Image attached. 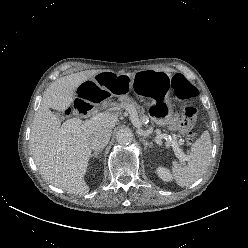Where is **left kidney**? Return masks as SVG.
<instances>
[{
  "mask_svg": "<svg viewBox=\"0 0 248 248\" xmlns=\"http://www.w3.org/2000/svg\"><path fill=\"white\" fill-rule=\"evenodd\" d=\"M157 175L166 182L172 181V175L170 171L164 167H158L156 169Z\"/></svg>",
  "mask_w": 248,
  "mask_h": 248,
  "instance_id": "5707ae66",
  "label": "left kidney"
}]
</instances>
